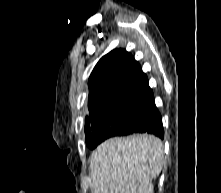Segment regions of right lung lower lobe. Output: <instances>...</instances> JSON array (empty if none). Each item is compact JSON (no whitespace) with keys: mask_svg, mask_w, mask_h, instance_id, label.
Masks as SVG:
<instances>
[{"mask_svg":"<svg viewBox=\"0 0 221 193\" xmlns=\"http://www.w3.org/2000/svg\"><path fill=\"white\" fill-rule=\"evenodd\" d=\"M151 104L153 107L151 113L136 126L124 132L120 136L129 135L133 133H150L154 134L155 136L161 139L164 138L161 115L155 106L154 100L151 101Z\"/></svg>","mask_w":221,"mask_h":193,"instance_id":"98d812e1","label":"right lung lower lobe"}]
</instances>
